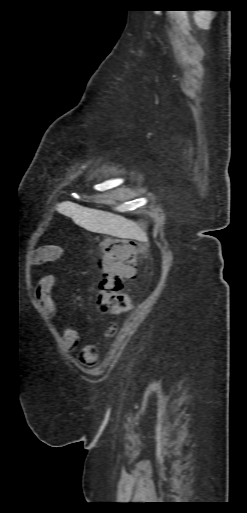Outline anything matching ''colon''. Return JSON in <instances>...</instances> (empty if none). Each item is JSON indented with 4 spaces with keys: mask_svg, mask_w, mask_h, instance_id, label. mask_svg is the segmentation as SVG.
Listing matches in <instances>:
<instances>
[{
    "mask_svg": "<svg viewBox=\"0 0 247 513\" xmlns=\"http://www.w3.org/2000/svg\"><path fill=\"white\" fill-rule=\"evenodd\" d=\"M58 252L55 253V256ZM102 280L95 311L104 315L107 311L121 312L130 304L124 292V283L137 274V245L124 238H108L101 244L99 260Z\"/></svg>",
    "mask_w": 247,
    "mask_h": 513,
    "instance_id": "obj_1",
    "label": "colon"
}]
</instances>
